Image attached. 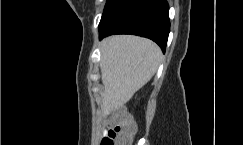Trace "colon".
<instances>
[{
    "label": "colon",
    "instance_id": "obj_1",
    "mask_svg": "<svg viewBox=\"0 0 243 145\" xmlns=\"http://www.w3.org/2000/svg\"><path fill=\"white\" fill-rule=\"evenodd\" d=\"M136 133V124L123 109L113 114V125L102 139L101 145H130Z\"/></svg>",
    "mask_w": 243,
    "mask_h": 145
}]
</instances>
